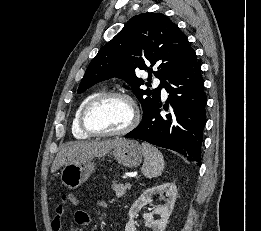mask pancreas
<instances>
[{
  "label": "pancreas",
  "instance_id": "pancreas-1",
  "mask_svg": "<svg viewBox=\"0 0 261 231\" xmlns=\"http://www.w3.org/2000/svg\"><path fill=\"white\" fill-rule=\"evenodd\" d=\"M131 188V185L116 184L113 182L112 190L115 192L117 197H121L126 194L127 190Z\"/></svg>",
  "mask_w": 261,
  "mask_h": 231
}]
</instances>
